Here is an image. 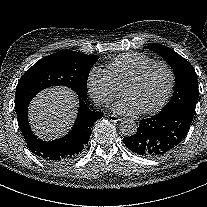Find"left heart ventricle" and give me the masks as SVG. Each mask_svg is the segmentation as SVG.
<instances>
[{
	"label": "left heart ventricle",
	"mask_w": 207,
	"mask_h": 207,
	"mask_svg": "<svg viewBox=\"0 0 207 207\" xmlns=\"http://www.w3.org/2000/svg\"><path fill=\"white\" fill-rule=\"evenodd\" d=\"M169 74L165 68L154 66L136 84L126 88L129 99L138 112L157 107L165 96Z\"/></svg>",
	"instance_id": "b2bd125f"
}]
</instances>
